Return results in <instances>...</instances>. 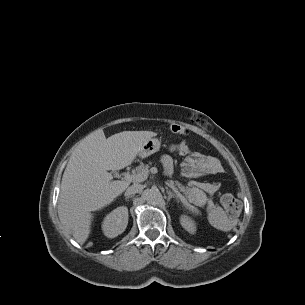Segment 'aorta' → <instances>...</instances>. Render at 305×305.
Returning a JSON list of instances; mask_svg holds the SVG:
<instances>
[{
  "label": "aorta",
  "instance_id": "1",
  "mask_svg": "<svg viewBox=\"0 0 305 305\" xmlns=\"http://www.w3.org/2000/svg\"><path fill=\"white\" fill-rule=\"evenodd\" d=\"M145 199L147 203L155 205L162 200V194L157 188H151L145 191Z\"/></svg>",
  "mask_w": 305,
  "mask_h": 305
}]
</instances>
